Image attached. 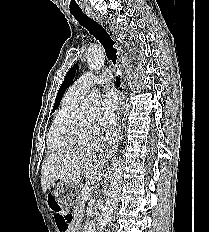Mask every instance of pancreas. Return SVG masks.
Instances as JSON below:
<instances>
[{
	"instance_id": "1",
	"label": "pancreas",
	"mask_w": 209,
	"mask_h": 232,
	"mask_svg": "<svg viewBox=\"0 0 209 232\" xmlns=\"http://www.w3.org/2000/svg\"><path fill=\"white\" fill-rule=\"evenodd\" d=\"M90 191V187L88 185H83L81 188V195L88 193Z\"/></svg>"
}]
</instances>
